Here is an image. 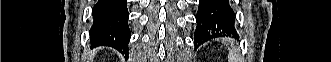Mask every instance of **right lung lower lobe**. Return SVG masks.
Returning <instances> with one entry per match:
<instances>
[{
    "instance_id": "98d812e1",
    "label": "right lung lower lobe",
    "mask_w": 331,
    "mask_h": 62,
    "mask_svg": "<svg viewBox=\"0 0 331 62\" xmlns=\"http://www.w3.org/2000/svg\"><path fill=\"white\" fill-rule=\"evenodd\" d=\"M92 46H109L127 54L130 40L127 0H99L93 7Z\"/></svg>"
}]
</instances>
